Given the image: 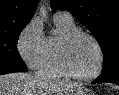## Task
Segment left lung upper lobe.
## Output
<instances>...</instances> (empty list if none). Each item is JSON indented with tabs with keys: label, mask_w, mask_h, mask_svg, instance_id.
I'll use <instances>...</instances> for the list:
<instances>
[{
	"label": "left lung upper lobe",
	"mask_w": 119,
	"mask_h": 95,
	"mask_svg": "<svg viewBox=\"0 0 119 95\" xmlns=\"http://www.w3.org/2000/svg\"><path fill=\"white\" fill-rule=\"evenodd\" d=\"M51 7L70 12L93 33L104 54L99 77L119 80V0H51Z\"/></svg>",
	"instance_id": "left-lung-upper-lobe-1"
}]
</instances>
